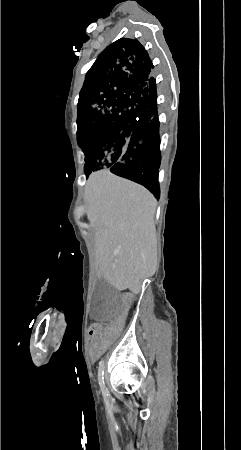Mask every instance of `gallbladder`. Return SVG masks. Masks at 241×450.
I'll use <instances>...</instances> for the list:
<instances>
[{"mask_svg":"<svg viewBox=\"0 0 241 450\" xmlns=\"http://www.w3.org/2000/svg\"><path fill=\"white\" fill-rule=\"evenodd\" d=\"M121 294L110 281L99 280L90 304V315L94 323H110L115 320L119 311Z\"/></svg>","mask_w":241,"mask_h":450,"instance_id":"1","label":"gallbladder"}]
</instances>
